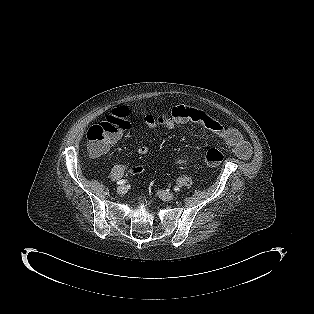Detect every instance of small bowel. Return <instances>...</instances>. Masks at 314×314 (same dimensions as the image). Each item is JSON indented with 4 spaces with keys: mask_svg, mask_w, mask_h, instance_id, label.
<instances>
[{
    "mask_svg": "<svg viewBox=\"0 0 314 314\" xmlns=\"http://www.w3.org/2000/svg\"><path fill=\"white\" fill-rule=\"evenodd\" d=\"M187 122H193L205 128L208 132L222 140L240 158L244 160L251 158L250 144L243 138L239 130L234 127L225 126L218 119L201 109L178 104L170 110L167 108L159 109L155 117L148 115L145 118V123L149 127L153 128L159 123L167 130H172L177 124ZM120 138L121 134L111 142L110 146L114 145ZM149 150V146L147 145H140L136 148V152L140 155L147 154ZM191 160H193V157L179 159L177 162L186 164ZM131 170L134 173H140L143 171V167L135 166Z\"/></svg>",
    "mask_w": 314,
    "mask_h": 314,
    "instance_id": "small-bowel-1",
    "label": "small bowel"
}]
</instances>
